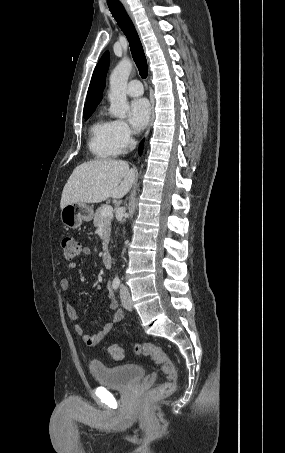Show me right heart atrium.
<instances>
[{"label": "right heart atrium", "mask_w": 285, "mask_h": 453, "mask_svg": "<svg viewBox=\"0 0 285 453\" xmlns=\"http://www.w3.org/2000/svg\"><path fill=\"white\" fill-rule=\"evenodd\" d=\"M113 125L115 141L119 152H122L132 143V132L128 124L123 120H115Z\"/></svg>", "instance_id": "obj_1"}]
</instances>
